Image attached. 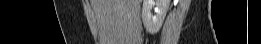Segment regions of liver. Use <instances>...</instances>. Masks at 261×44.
I'll list each match as a JSON object with an SVG mask.
<instances>
[{
	"instance_id": "liver-1",
	"label": "liver",
	"mask_w": 261,
	"mask_h": 44,
	"mask_svg": "<svg viewBox=\"0 0 261 44\" xmlns=\"http://www.w3.org/2000/svg\"><path fill=\"white\" fill-rule=\"evenodd\" d=\"M100 44H136L140 39V0H91Z\"/></svg>"
}]
</instances>
